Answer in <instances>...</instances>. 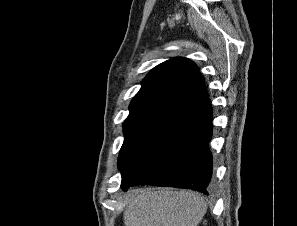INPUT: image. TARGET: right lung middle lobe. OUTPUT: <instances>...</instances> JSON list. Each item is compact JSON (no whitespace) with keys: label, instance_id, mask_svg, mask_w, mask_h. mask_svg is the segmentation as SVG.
<instances>
[{"label":"right lung middle lobe","instance_id":"right-lung-middle-lobe-1","mask_svg":"<svg viewBox=\"0 0 297 226\" xmlns=\"http://www.w3.org/2000/svg\"><path fill=\"white\" fill-rule=\"evenodd\" d=\"M168 120L148 117L124 122L125 139L118 158V167L122 177L136 165L153 138Z\"/></svg>","mask_w":297,"mask_h":226}]
</instances>
